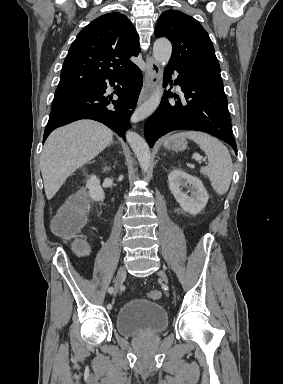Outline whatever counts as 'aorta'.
Returning a JSON list of instances; mask_svg holds the SVG:
<instances>
[{
	"label": "aorta",
	"mask_w": 283,
	"mask_h": 384,
	"mask_svg": "<svg viewBox=\"0 0 283 384\" xmlns=\"http://www.w3.org/2000/svg\"><path fill=\"white\" fill-rule=\"evenodd\" d=\"M172 54V45L168 39H157L153 45V56L157 63L166 65ZM162 98V85H159L150 98L138 107L131 117L132 123H137L148 118L157 109ZM126 139L135 153L140 168L142 171L147 172L150 161L151 153L146 141L137 133L127 131Z\"/></svg>",
	"instance_id": "aorta-1"
}]
</instances>
